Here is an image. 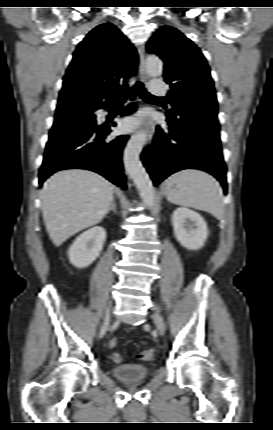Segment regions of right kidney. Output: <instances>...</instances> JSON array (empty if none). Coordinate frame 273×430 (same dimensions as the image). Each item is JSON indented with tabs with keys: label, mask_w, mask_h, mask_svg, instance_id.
I'll list each match as a JSON object with an SVG mask.
<instances>
[{
	"label": "right kidney",
	"mask_w": 273,
	"mask_h": 430,
	"mask_svg": "<svg viewBox=\"0 0 273 430\" xmlns=\"http://www.w3.org/2000/svg\"><path fill=\"white\" fill-rule=\"evenodd\" d=\"M105 239L106 231L100 226L82 233L69 248L70 263L77 268L88 267L100 255Z\"/></svg>",
	"instance_id": "ca27d5eb"
}]
</instances>
